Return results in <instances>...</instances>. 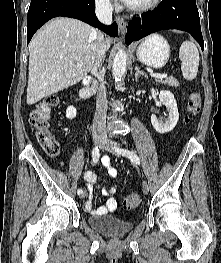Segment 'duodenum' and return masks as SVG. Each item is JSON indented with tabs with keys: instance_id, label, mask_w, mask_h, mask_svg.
Returning a JSON list of instances; mask_svg holds the SVG:
<instances>
[{
	"instance_id": "1",
	"label": "duodenum",
	"mask_w": 221,
	"mask_h": 263,
	"mask_svg": "<svg viewBox=\"0 0 221 263\" xmlns=\"http://www.w3.org/2000/svg\"><path fill=\"white\" fill-rule=\"evenodd\" d=\"M92 95V89L90 87V81L85 80L83 83V87L79 92V97L81 100L86 101L88 100Z\"/></svg>"
}]
</instances>
